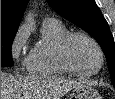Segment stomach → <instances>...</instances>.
<instances>
[{
  "label": "stomach",
  "instance_id": "obj_1",
  "mask_svg": "<svg viewBox=\"0 0 115 99\" xmlns=\"http://www.w3.org/2000/svg\"><path fill=\"white\" fill-rule=\"evenodd\" d=\"M101 99L98 92L90 85L81 84L80 86L73 89L69 99Z\"/></svg>",
  "mask_w": 115,
  "mask_h": 99
}]
</instances>
